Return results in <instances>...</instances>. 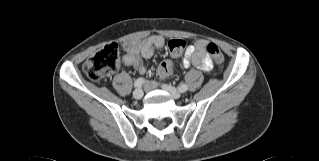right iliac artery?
<instances>
[{"instance_id":"obj_1","label":"right iliac artery","mask_w":319,"mask_h":161,"mask_svg":"<svg viewBox=\"0 0 319 161\" xmlns=\"http://www.w3.org/2000/svg\"><path fill=\"white\" fill-rule=\"evenodd\" d=\"M143 83H144V78L141 77L135 81L134 86L139 88L142 86Z\"/></svg>"}]
</instances>
